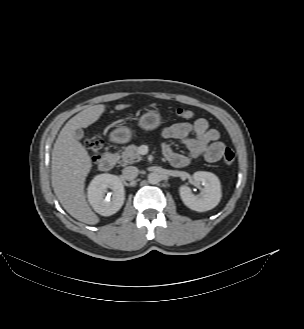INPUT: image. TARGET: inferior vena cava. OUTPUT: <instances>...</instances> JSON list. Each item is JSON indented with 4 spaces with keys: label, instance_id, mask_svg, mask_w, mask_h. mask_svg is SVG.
<instances>
[{
    "label": "inferior vena cava",
    "instance_id": "inferior-vena-cava-1",
    "mask_svg": "<svg viewBox=\"0 0 304 329\" xmlns=\"http://www.w3.org/2000/svg\"><path fill=\"white\" fill-rule=\"evenodd\" d=\"M138 173L139 170L135 166L125 167L122 171L123 177L129 181L135 179L138 176Z\"/></svg>",
    "mask_w": 304,
    "mask_h": 329
}]
</instances>
